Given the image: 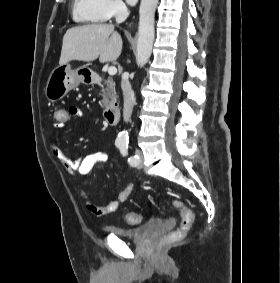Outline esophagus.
Instances as JSON below:
<instances>
[{
	"mask_svg": "<svg viewBox=\"0 0 280 283\" xmlns=\"http://www.w3.org/2000/svg\"><path fill=\"white\" fill-rule=\"evenodd\" d=\"M132 24H133V22H131L129 26H131Z\"/></svg>",
	"mask_w": 280,
	"mask_h": 283,
	"instance_id": "obj_1",
	"label": "esophagus"
}]
</instances>
